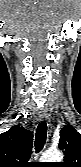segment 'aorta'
Wrapping results in <instances>:
<instances>
[{"instance_id": "aorta-1", "label": "aorta", "mask_w": 81, "mask_h": 167, "mask_svg": "<svg viewBox=\"0 0 81 167\" xmlns=\"http://www.w3.org/2000/svg\"><path fill=\"white\" fill-rule=\"evenodd\" d=\"M63 155L58 150H48L44 152L40 158L42 162H61Z\"/></svg>"}]
</instances>
